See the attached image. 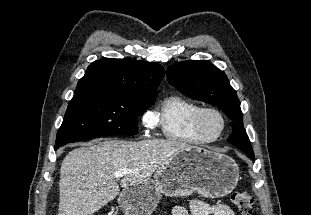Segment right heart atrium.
I'll use <instances>...</instances> for the list:
<instances>
[{
  "label": "right heart atrium",
  "mask_w": 311,
  "mask_h": 215,
  "mask_svg": "<svg viewBox=\"0 0 311 215\" xmlns=\"http://www.w3.org/2000/svg\"><path fill=\"white\" fill-rule=\"evenodd\" d=\"M142 122L147 128H153L156 125L155 117L151 112H146L143 115Z\"/></svg>",
  "instance_id": "d8ad5b80"
}]
</instances>
